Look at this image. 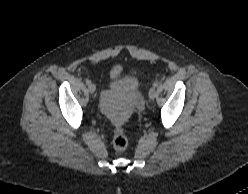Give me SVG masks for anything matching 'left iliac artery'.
<instances>
[{
    "label": "left iliac artery",
    "mask_w": 248,
    "mask_h": 194,
    "mask_svg": "<svg viewBox=\"0 0 248 194\" xmlns=\"http://www.w3.org/2000/svg\"><path fill=\"white\" fill-rule=\"evenodd\" d=\"M157 86H158V83L155 82V83L153 84V87L156 88Z\"/></svg>",
    "instance_id": "44dca946"
}]
</instances>
